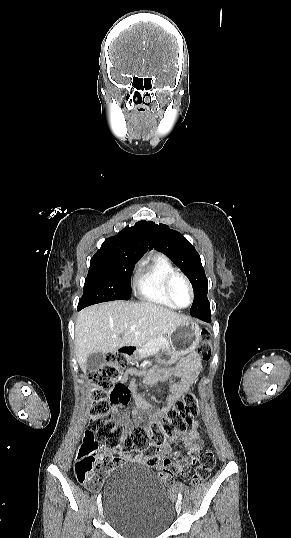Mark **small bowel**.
Masks as SVG:
<instances>
[{
  "label": "small bowel",
  "mask_w": 291,
  "mask_h": 538,
  "mask_svg": "<svg viewBox=\"0 0 291 538\" xmlns=\"http://www.w3.org/2000/svg\"><path fill=\"white\" fill-rule=\"evenodd\" d=\"M200 371L201 366L198 354H187L185 360L182 363H179L172 372V377L176 382L171 381L169 374L162 370L146 376L144 378V382L148 386H157L159 379L167 381L169 384V394L166 397L165 405L152 412V417L161 419L168 412V410L191 389ZM132 373V370L127 371L121 378L120 383L125 385ZM127 387L129 388L130 392L133 393L134 397V407L131 412L121 413L120 405L117 403H113L111 407L112 415L115 417L119 425L124 429L126 434H128L133 427L140 420H142L144 417L142 411L148 409L142 395L137 392L135 380H132ZM172 443H181L188 454V459L180 460L174 464L176 473L182 477H185L189 473L191 465L195 463L196 457L203 445L202 437L199 431V422L193 421L190 429L187 432H181L177 435V437L167 439L165 446ZM152 446L156 445L153 444ZM151 457L152 456H143L140 454H120L117 459L119 463L129 462L146 464Z\"/></svg>",
  "instance_id": "1"
}]
</instances>
